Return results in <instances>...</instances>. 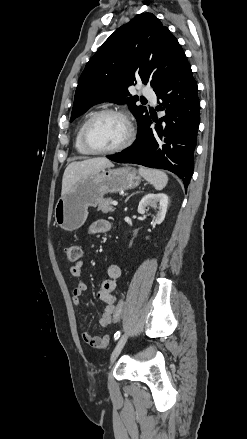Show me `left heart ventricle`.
<instances>
[{"label":"left heart ventricle","instance_id":"left-heart-ventricle-1","mask_svg":"<svg viewBox=\"0 0 247 439\" xmlns=\"http://www.w3.org/2000/svg\"><path fill=\"white\" fill-rule=\"evenodd\" d=\"M127 134V125L123 119L117 116L105 115L92 123L88 137L94 148L106 150L123 143Z\"/></svg>","mask_w":247,"mask_h":439}]
</instances>
